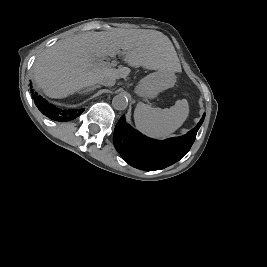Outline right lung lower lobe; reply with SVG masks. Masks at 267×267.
I'll return each instance as SVG.
<instances>
[{
  "label": "right lung lower lobe",
  "instance_id": "98d812e1",
  "mask_svg": "<svg viewBox=\"0 0 267 267\" xmlns=\"http://www.w3.org/2000/svg\"><path fill=\"white\" fill-rule=\"evenodd\" d=\"M33 92V91H32ZM34 102L38 109L47 117L55 121H69L78 117L84 109L80 110H62L49 104L40 96L33 95Z\"/></svg>",
  "mask_w": 267,
  "mask_h": 267
}]
</instances>
